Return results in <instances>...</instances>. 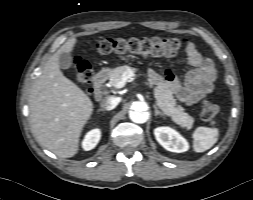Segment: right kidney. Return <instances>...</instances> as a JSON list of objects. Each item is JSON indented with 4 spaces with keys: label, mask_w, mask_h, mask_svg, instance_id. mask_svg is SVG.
<instances>
[{
    "label": "right kidney",
    "mask_w": 253,
    "mask_h": 200,
    "mask_svg": "<svg viewBox=\"0 0 253 200\" xmlns=\"http://www.w3.org/2000/svg\"><path fill=\"white\" fill-rule=\"evenodd\" d=\"M101 138V131L98 128L92 129L86 133L82 140V148L84 151H89L96 147Z\"/></svg>",
    "instance_id": "1"
}]
</instances>
